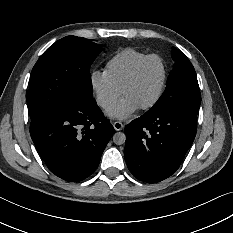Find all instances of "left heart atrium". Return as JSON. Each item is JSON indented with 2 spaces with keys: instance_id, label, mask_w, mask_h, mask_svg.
Wrapping results in <instances>:
<instances>
[{
  "instance_id": "obj_1",
  "label": "left heart atrium",
  "mask_w": 233,
  "mask_h": 233,
  "mask_svg": "<svg viewBox=\"0 0 233 233\" xmlns=\"http://www.w3.org/2000/svg\"><path fill=\"white\" fill-rule=\"evenodd\" d=\"M140 109V106L132 98L124 96L119 104L105 112L106 116L117 120H126Z\"/></svg>"
}]
</instances>
